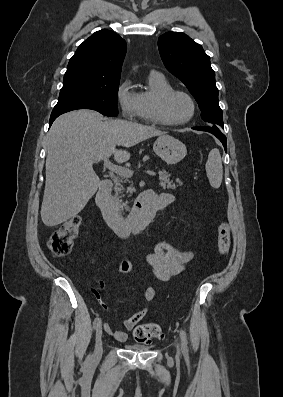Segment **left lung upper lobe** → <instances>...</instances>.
<instances>
[{
    "mask_svg": "<svg viewBox=\"0 0 283 397\" xmlns=\"http://www.w3.org/2000/svg\"><path fill=\"white\" fill-rule=\"evenodd\" d=\"M158 47L167 70L186 85L198 102L202 119L222 131L215 72L202 46L184 33L167 32L159 37Z\"/></svg>",
    "mask_w": 283,
    "mask_h": 397,
    "instance_id": "5c2ea615",
    "label": "left lung upper lobe"
}]
</instances>
